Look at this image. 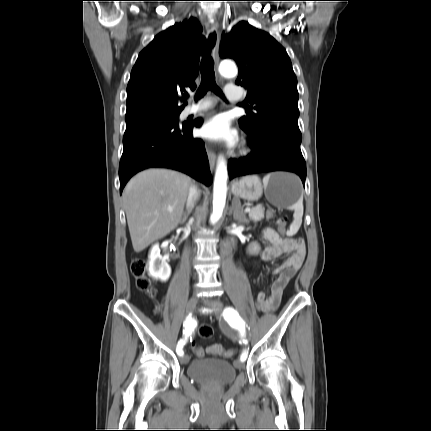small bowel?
Instances as JSON below:
<instances>
[{
    "label": "small bowel",
    "mask_w": 431,
    "mask_h": 431,
    "mask_svg": "<svg viewBox=\"0 0 431 431\" xmlns=\"http://www.w3.org/2000/svg\"><path fill=\"white\" fill-rule=\"evenodd\" d=\"M263 237L269 242V245L262 252L264 260L271 261L283 254H290L286 261L274 269L273 272L279 274V276L273 282L270 291L267 293L259 292L256 296L259 299L261 311H270L277 308L285 287L301 268L305 258V246L302 240L282 238L271 228L263 230ZM203 350L204 355L207 353L224 357H226L225 353L227 352L219 344L209 345L206 349L203 348Z\"/></svg>",
    "instance_id": "c3829d8e"
}]
</instances>
